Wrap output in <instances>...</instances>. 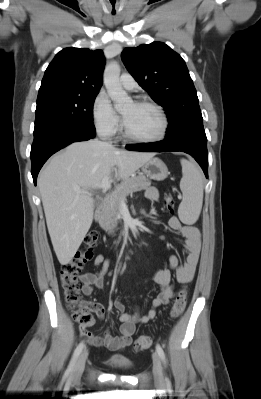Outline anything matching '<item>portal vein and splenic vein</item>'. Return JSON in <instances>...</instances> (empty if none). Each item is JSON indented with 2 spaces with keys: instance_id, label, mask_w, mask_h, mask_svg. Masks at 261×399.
<instances>
[{
  "instance_id": "1",
  "label": "portal vein and splenic vein",
  "mask_w": 261,
  "mask_h": 399,
  "mask_svg": "<svg viewBox=\"0 0 261 399\" xmlns=\"http://www.w3.org/2000/svg\"><path fill=\"white\" fill-rule=\"evenodd\" d=\"M96 187L104 189V190L110 189L111 188V183L109 181V177L108 176L104 177L102 179L101 183L97 184ZM76 191H80V188H76ZM124 203H125V201H122L121 204H124Z\"/></svg>"
}]
</instances>
